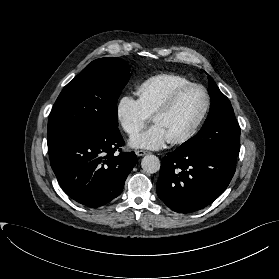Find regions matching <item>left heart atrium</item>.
<instances>
[{"label":"left heart atrium","mask_w":279,"mask_h":279,"mask_svg":"<svg viewBox=\"0 0 279 279\" xmlns=\"http://www.w3.org/2000/svg\"><path fill=\"white\" fill-rule=\"evenodd\" d=\"M167 142H169L168 136L158 125H154L149 130L130 139V145L132 147L151 150L161 149Z\"/></svg>","instance_id":"left-heart-atrium-1"}]
</instances>
